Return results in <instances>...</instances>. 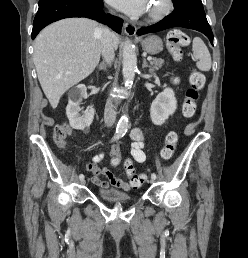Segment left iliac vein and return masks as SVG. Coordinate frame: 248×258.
Masks as SVG:
<instances>
[{
  "mask_svg": "<svg viewBox=\"0 0 248 258\" xmlns=\"http://www.w3.org/2000/svg\"><path fill=\"white\" fill-rule=\"evenodd\" d=\"M155 182V179H153V178H151L150 180H149V183H151V184H153Z\"/></svg>",
  "mask_w": 248,
  "mask_h": 258,
  "instance_id": "4c4485c4",
  "label": "left iliac vein"
}]
</instances>
